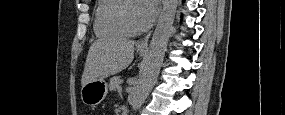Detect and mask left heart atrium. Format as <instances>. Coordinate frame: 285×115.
<instances>
[{
  "instance_id": "obj_1",
  "label": "left heart atrium",
  "mask_w": 285,
  "mask_h": 115,
  "mask_svg": "<svg viewBox=\"0 0 285 115\" xmlns=\"http://www.w3.org/2000/svg\"><path fill=\"white\" fill-rule=\"evenodd\" d=\"M158 0H140L138 17L143 26L150 24L157 14Z\"/></svg>"
}]
</instances>
